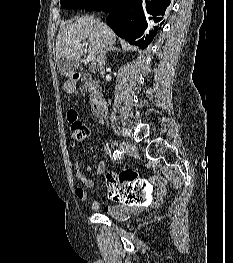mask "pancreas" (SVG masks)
Returning <instances> with one entry per match:
<instances>
[{"instance_id":"obj_1","label":"pancreas","mask_w":233,"mask_h":263,"mask_svg":"<svg viewBox=\"0 0 233 263\" xmlns=\"http://www.w3.org/2000/svg\"><path fill=\"white\" fill-rule=\"evenodd\" d=\"M83 80V89H85L88 92L90 101H93L99 94L98 82L96 80H93L92 77L88 74L83 77Z\"/></svg>"}]
</instances>
